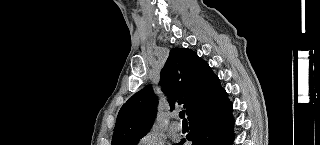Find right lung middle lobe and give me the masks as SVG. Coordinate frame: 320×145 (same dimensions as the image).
Wrapping results in <instances>:
<instances>
[{"mask_svg":"<svg viewBox=\"0 0 320 145\" xmlns=\"http://www.w3.org/2000/svg\"><path fill=\"white\" fill-rule=\"evenodd\" d=\"M141 138H142V137H141ZM141 138H139V139H137L136 141H134L131 145H136Z\"/></svg>","mask_w":320,"mask_h":145,"instance_id":"obj_1","label":"right lung middle lobe"}]
</instances>
